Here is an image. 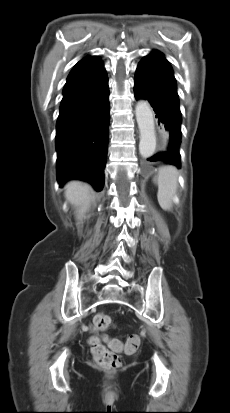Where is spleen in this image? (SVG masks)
<instances>
[{"instance_id":"obj_1","label":"spleen","mask_w":230,"mask_h":413,"mask_svg":"<svg viewBox=\"0 0 230 413\" xmlns=\"http://www.w3.org/2000/svg\"><path fill=\"white\" fill-rule=\"evenodd\" d=\"M154 181L158 185V202L162 209L170 210L178 186V171L173 166L160 168Z\"/></svg>"}]
</instances>
